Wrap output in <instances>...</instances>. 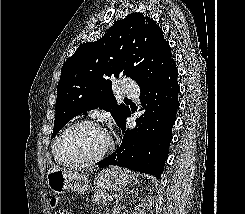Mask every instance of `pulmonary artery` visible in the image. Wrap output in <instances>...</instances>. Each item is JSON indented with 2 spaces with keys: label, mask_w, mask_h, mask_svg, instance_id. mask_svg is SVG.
<instances>
[{
  "label": "pulmonary artery",
  "mask_w": 245,
  "mask_h": 214,
  "mask_svg": "<svg viewBox=\"0 0 245 214\" xmlns=\"http://www.w3.org/2000/svg\"><path fill=\"white\" fill-rule=\"evenodd\" d=\"M123 93L131 98L139 97V86L136 82L130 80H124L123 82Z\"/></svg>",
  "instance_id": "e3ab8cb5"
}]
</instances>
